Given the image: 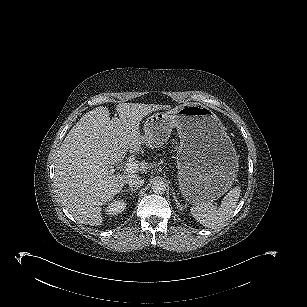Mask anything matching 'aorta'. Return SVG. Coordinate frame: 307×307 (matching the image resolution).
I'll list each match as a JSON object with an SVG mask.
<instances>
[{"mask_svg": "<svg viewBox=\"0 0 307 307\" xmlns=\"http://www.w3.org/2000/svg\"><path fill=\"white\" fill-rule=\"evenodd\" d=\"M152 190L155 194H163L166 191V184L161 180H155L152 183Z\"/></svg>", "mask_w": 307, "mask_h": 307, "instance_id": "obj_1", "label": "aorta"}]
</instances>
